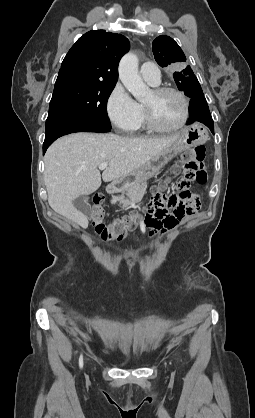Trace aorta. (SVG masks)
Listing matches in <instances>:
<instances>
[{"label": "aorta", "mask_w": 255, "mask_h": 418, "mask_svg": "<svg viewBox=\"0 0 255 418\" xmlns=\"http://www.w3.org/2000/svg\"><path fill=\"white\" fill-rule=\"evenodd\" d=\"M119 78L125 88L138 101L150 93V88L142 81L138 73V58L133 53L125 54L119 63Z\"/></svg>", "instance_id": "aorta-1"}]
</instances>
